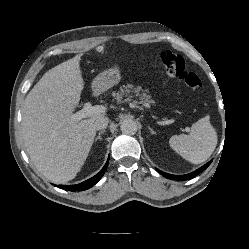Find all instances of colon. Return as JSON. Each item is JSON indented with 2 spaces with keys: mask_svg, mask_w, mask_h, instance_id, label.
Here are the masks:
<instances>
[{
  "mask_svg": "<svg viewBox=\"0 0 249 249\" xmlns=\"http://www.w3.org/2000/svg\"><path fill=\"white\" fill-rule=\"evenodd\" d=\"M159 58L169 76L183 81L190 88L197 89L201 87L202 82L200 77L187 69L182 56L170 51H162L159 54Z\"/></svg>",
  "mask_w": 249,
  "mask_h": 249,
  "instance_id": "5ec220e1",
  "label": "colon"
}]
</instances>
